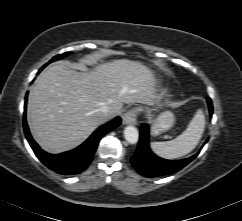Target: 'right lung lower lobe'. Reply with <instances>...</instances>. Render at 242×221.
I'll use <instances>...</instances> for the list:
<instances>
[{"label":"right lung lower lobe","instance_id":"98d812e1","mask_svg":"<svg viewBox=\"0 0 242 221\" xmlns=\"http://www.w3.org/2000/svg\"><path fill=\"white\" fill-rule=\"evenodd\" d=\"M26 101L27 96L25 98V111L23 115V126L26 138L40 161L51 170L62 175H75L84 171L92 161L94 152L98 146L100 139L109 131L118 127L121 123V118L116 117L115 119L111 120L110 122L97 129L79 147L62 154H49L43 151L30 135L26 122Z\"/></svg>","mask_w":242,"mask_h":221}]
</instances>
